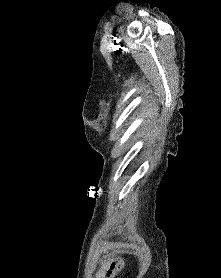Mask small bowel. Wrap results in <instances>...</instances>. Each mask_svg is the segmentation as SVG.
Segmentation results:
<instances>
[{
  "instance_id": "small-bowel-1",
  "label": "small bowel",
  "mask_w": 221,
  "mask_h": 278,
  "mask_svg": "<svg viewBox=\"0 0 221 278\" xmlns=\"http://www.w3.org/2000/svg\"><path fill=\"white\" fill-rule=\"evenodd\" d=\"M121 267V262L111 258L102 264L98 278H114Z\"/></svg>"
}]
</instances>
